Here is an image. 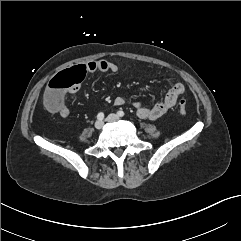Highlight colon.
<instances>
[{
    "label": "colon",
    "mask_w": 241,
    "mask_h": 241,
    "mask_svg": "<svg viewBox=\"0 0 241 241\" xmlns=\"http://www.w3.org/2000/svg\"><path fill=\"white\" fill-rule=\"evenodd\" d=\"M87 76V69L83 64H74L71 69L64 70L55 75L49 82L44 96V104L48 109H53L62 99L63 95L77 86ZM179 112H187L185 100H181L178 106Z\"/></svg>",
    "instance_id": "1"
}]
</instances>
